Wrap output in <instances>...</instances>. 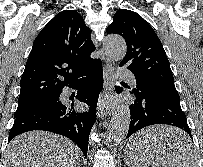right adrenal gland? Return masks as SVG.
<instances>
[{
	"label": "right adrenal gland",
	"mask_w": 203,
	"mask_h": 167,
	"mask_svg": "<svg viewBox=\"0 0 203 167\" xmlns=\"http://www.w3.org/2000/svg\"><path fill=\"white\" fill-rule=\"evenodd\" d=\"M81 164H82V161H81V160H79V163H78V166H77V167H80V166H81Z\"/></svg>",
	"instance_id": "obj_1"
}]
</instances>
